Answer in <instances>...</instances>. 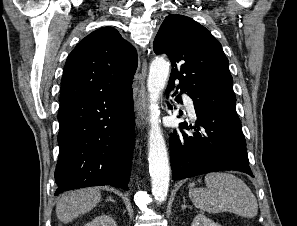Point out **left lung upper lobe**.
Instances as JSON below:
<instances>
[{
    "mask_svg": "<svg viewBox=\"0 0 297 226\" xmlns=\"http://www.w3.org/2000/svg\"><path fill=\"white\" fill-rule=\"evenodd\" d=\"M154 52L172 63L169 81L199 101L236 102L229 61L221 44L202 25L182 15H169L154 40Z\"/></svg>",
    "mask_w": 297,
    "mask_h": 226,
    "instance_id": "5c2ea615",
    "label": "left lung upper lobe"
}]
</instances>
